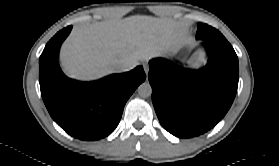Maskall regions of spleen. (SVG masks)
<instances>
[{"instance_id": "3e777b00", "label": "spleen", "mask_w": 279, "mask_h": 166, "mask_svg": "<svg viewBox=\"0 0 279 166\" xmlns=\"http://www.w3.org/2000/svg\"><path fill=\"white\" fill-rule=\"evenodd\" d=\"M206 63L205 53L204 51L200 50L195 54V57L192 62L193 67H199Z\"/></svg>"}]
</instances>
